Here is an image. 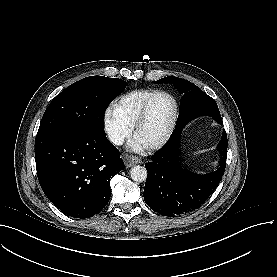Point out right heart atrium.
I'll return each instance as SVG.
<instances>
[{"instance_id": "1", "label": "right heart atrium", "mask_w": 277, "mask_h": 277, "mask_svg": "<svg viewBox=\"0 0 277 277\" xmlns=\"http://www.w3.org/2000/svg\"><path fill=\"white\" fill-rule=\"evenodd\" d=\"M103 127L115 143H120L130 135V124L119 117L113 107H108L103 113Z\"/></svg>"}]
</instances>
